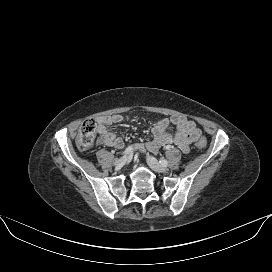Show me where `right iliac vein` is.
Instances as JSON below:
<instances>
[{
    "label": "right iliac vein",
    "instance_id": "right-iliac-vein-1",
    "mask_svg": "<svg viewBox=\"0 0 272 272\" xmlns=\"http://www.w3.org/2000/svg\"><path fill=\"white\" fill-rule=\"evenodd\" d=\"M125 162H126V156L123 155L114 162V165L116 168L119 169L125 164Z\"/></svg>",
    "mask_w": 272,
    "mask_h": 272
}]
</instances>
